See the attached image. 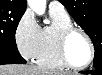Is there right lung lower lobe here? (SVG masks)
Here are the masks:
<instances>
[{
    "mask_svg": "<svg viewBox=\"0 0 102 75\" xmlns=\"http://www.w3.org/2000/svg\"><path fill=\"white\" fill-rule=\"evenodd\" d=\"M13 63L24 64L26 61L18 51L3 50L0 52V65Z\"/></svg>",
    "mask_w": 102,
    "mask_h": 75,
    "instance_id": "1",
    "label": "right lung lower lobe"
}]
</instances>
